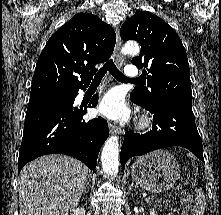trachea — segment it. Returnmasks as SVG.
Returning a JSON list of instances; mask_svg holds the SVG:
<instances>
[{
    "mask_svg": "<svg viewBox=\"0 0 221 215\" xmlns=\"http://www.w3.org/2000/svg\"><path fill=\"white\" fill-rule=\"evenodd\" d=\"M110 71V73L117 79L121 81H136V80H131L127 78L125 75H123L122 72H120L117 68L116 65L114 64L113 60L110 59L107 61L103 67L98 71V73L95 75L92 83H100L103 76L107 71Z\"/></svg>",
    "mask_w": 221,
    "mask_h": 215,
    "instance_id": "obj_1",
    "label": "trachea"
}]
</instances>
